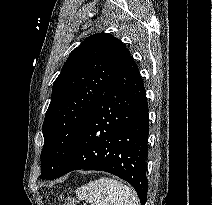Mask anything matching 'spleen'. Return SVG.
I'll return each instance as SVG.
<instances>
[{"label":"spleen","instance_id":"1","mask_svg":"<svg viewBox=\"0 0 212 205\" xmlns=\"http://www.w3.org/2000/svg\"><path fill=\"white\" fill-rule=\"evenodd\" d=\"M76 194L91 205H140L137 195L129 186L108 177L77 188Z\"/></svg>","mask_w":212,"mask_h":205}]
</instances>
